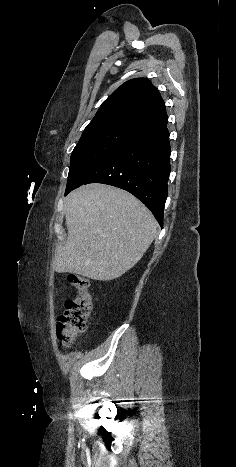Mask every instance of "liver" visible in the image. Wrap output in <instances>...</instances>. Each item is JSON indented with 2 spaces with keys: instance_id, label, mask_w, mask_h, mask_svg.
I'll return each instance as SVG.
<instances>
[{
  "instance_id": "liver-1",
  "label": "liver",
  "mask_w": 236,
  "mask_h": 467,
  "mask_svg": "<svg viewBox=\"0 0 236 467\" xmlns=\"http://www.w3.org/2000/svg\"><path fill=\"white\" fill-rule=\"evenodd\" d=\"M68 238L53 269L110 281L131 269L157 235L150 210L125 190L89 184L65 199Z\"/></svg>"
}]
</instances>
